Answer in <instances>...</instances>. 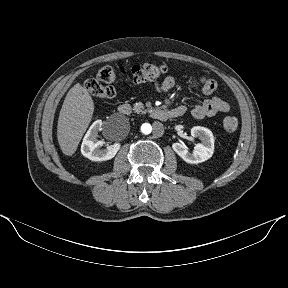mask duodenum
I'll list each match as a JSON object with an SVG mask.
<instances>
[{
  "mask_svg": "<svg viewBox=\"0 0 288 288\" xmlns=\"http://www.w3.org/2000/svg\"><path fill=\"white\" fill-rule=\"evenodd\" d=\"M119 113L122 115H130L131 113V106L127 103H122L118 107ZM183 114L182 110L180 109H164V108H157L151 112V117L160 120L166 121L170 118H176Z\"/></svg>",
  "mask_w": 288,
  "mask_h": 288,
  "instance_id": "duodenum-1",
  "label": "duodenum"
}]
</instances>
